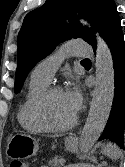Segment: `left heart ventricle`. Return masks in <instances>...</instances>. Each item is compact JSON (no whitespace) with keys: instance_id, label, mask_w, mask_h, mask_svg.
Instances as JSON below:
<instances>
[{"instance_id":"left-heart-ventricle-1","label":"left heart ventricle","mask_w":125,"mask_h":167,"mask_svg":"<svg viewBox=\"0 0 125 167\" xmlns=\"http://www.w3.org/2000/svg\"><path fill=\"white\" fill-rule=\"evenodd\" d=\"M75 115L71 109L63 91L54 93L47 101L46 116L48 121L56 126L64 125Z\"/></svg>"}]
</instances>
